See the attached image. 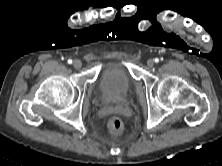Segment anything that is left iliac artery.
I'll return each instance as SVG.
<instances>
[{"instance_id":"left-iliac-artery-1","label":"left iliac artery","mask_w":222,"mask_h":166,"mask_svg":"<svg viewBox=\"0 0 222 166\" xmlns=\"http://www.w3.org/2000/svg\"><path fill=\"white\" fill-rule=\"evenodd\" d=\"M155 62H159V60L156 58V59H155Z\"/></svg>"}]
</instances>
